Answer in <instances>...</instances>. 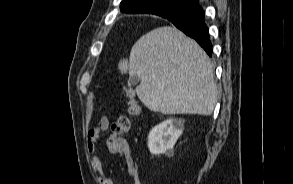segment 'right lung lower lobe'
<instances>
[{"instance_id": "obj_1", "label": "right lung lower lobe", "mask_w": 293, "mask_h": 184, "mask_svg": "<svg viewBox=\"0 0 293 184\" xmlns=\"http://www.w3.org/2000/svg\"><path fill=\"white\" fill-rule=\"evenodd\" d=\"M171 21L186 35L195 39L197 43L212 56V44L209 30L204 21V11L198 4L176 10L172 15L164 17Z\"/></svg>"}]
</instances>
